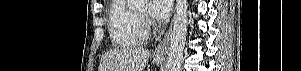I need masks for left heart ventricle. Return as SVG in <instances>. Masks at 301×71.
I'll use <instances>...</instances> for the list:
<instances>
[{
  "instance_id": "1",
  "label": "left heart ventricle",
  "mask_w": 301,
  "mask_h": 71,
  "mask_svg": "<svg viewBox=\"0 0 301 71\" xmlns=\"http://www.w3.org/2000/svg\"><path fill=\"white\" fill-rule=\"evenodd\" d=\"M138 8L141 12H144V13L147 12V4L146 3L141 2L140 4H138Z\"/></svg>"
}]
</instances>
